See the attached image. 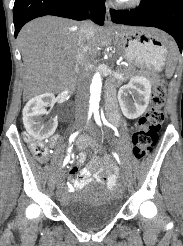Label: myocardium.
Segmentation results:
<instances>
[{
  "label": "myocardium",
  "mask_w": 183,
  "mask_h": 246,
  "mask_svg": "<svg viewBox=\"0 0 183 246\" xmlns=\"http://www.w3.org/2000/svg\"><path fill=\"white\" fill-rule=\"evenodd\" d=\"M141 0H116V5L121 8H132L140 3Z\"/></svg>",
  "instance_id": "f54148a6"
}]
</instances>
